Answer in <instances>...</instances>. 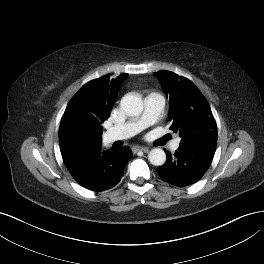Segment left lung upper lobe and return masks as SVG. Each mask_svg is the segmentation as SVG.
<instances>
[{
    "label": "left lung upper lobe",
    "mask_w": 264,
    "mask_h": 264,
    "mask_svg": "<svg viewBox=\"0 0 264 264\" xmlns=\"http://www.w3.org/2000/svg\"><path fill=\"white\" fill-rule=\"evenodd\" d=\"M154 75L169 96L170 129L179 134L180 148L215 153L217 125L198 88L190 80L170 71H159Z\"/></svg>",
    "instance_id": "1"
}]
</instances>
